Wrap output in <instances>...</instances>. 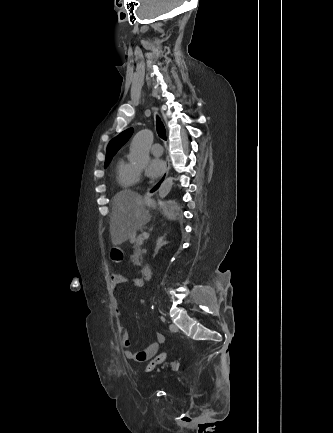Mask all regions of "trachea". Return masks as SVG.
<instances>
[{
  "mask_svg": "<svg viewBox=\"0 0 333 433\" xmlns=\"http://www.w3.org/2000/svg\"><path fill=\"white\" fill-rule=\"evenodd\" d=\"M156 129L159 137L162 138L163 140H166V130L158 116L156 117Z\"/></svg>",
  "mask_w": 333,
  "mask_h": 433,
  "instance_id": "trachea-1",
  "label": "trachea"
}]
</instances>
